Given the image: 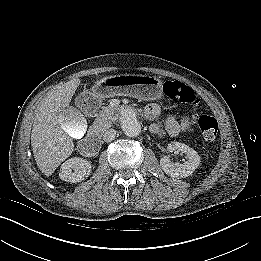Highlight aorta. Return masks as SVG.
<instances>
[{
	"mask_svg": "<svg viewBox=\"0 0 261 261\" xmlns=\"http://www.w3.org/2000/svg\"><path fill=\"white\" fill-rule=\"evenodd\" d=\"M121 126L125 135L128 137L134 138L139 136L141 133V124L137 118V114L133 109H128L122 113Z\"/></svg>",
	"mask_w": 261,
	"mask_h": 261,
	"instance_id": "1",
	"label": "aorta"
}]
</instances>
